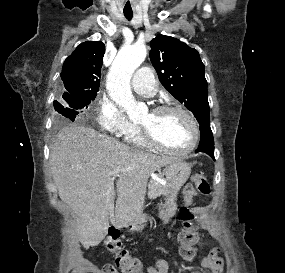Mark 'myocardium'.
<instances>
[{
  "mask_svg": "<svg viewBox=\"0 0 285 273\" xmlns=\"http://www.w3.org/2000/svg\"><path fill=\"white\" fill-rule=\"evenodd\" d=\"M168 111L179 112L188 119L192 127V140L190 144L183 149H175V148L168 147L162 144L161 142H159L147 128H145L142 125H139V134H140L141 139L147 145L155 149L169 153V154L179 155V156L190 154L196 149L200 141L201 131H200V125L197 119L195 118V116L193 115L191 111H189L187 108L179 104H162L153 109V112H160V113L168 112Z\"/></svg>",
  "mask_w": 285,
  "mask_h": 273,
  "instance_id": "1",
  "label": "myocardium"
}]
</instances>
